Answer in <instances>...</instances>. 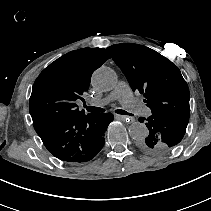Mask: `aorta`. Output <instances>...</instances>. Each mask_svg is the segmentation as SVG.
Returning a JSON list of instances; mask_svg holds the SVG:
<instances>
[{
  "label": "aorta",
  "instance_id": "762f6f07",
  "mask_svg": "<svg viewBox=\"0 0 211 211\" xmlns=\"http://www.w3.org/2000/svg\"><path fill=\"white\" fill-rule=\"evenodd\" d=\"M92 85L101 90H110L117 83V75L111 68L100 67L92 76ZM147 127L141 122H133L129 126V135L135 140L144 139L148 135Z\"/></svg>",
  "mask_w": 211,
  "mask_h": 211
}]
</instances>
